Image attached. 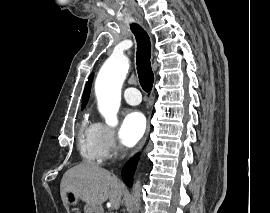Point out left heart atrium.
Listing matches in <instances>:
<instances>
[{"label":"left heart atrium","mask_w":270,"mask_h":213,"mask_svg":"<svg viewBox=\"0 0 270 213\" xmlns=\"http://www.w3.org/2000/svg\"><path fill=\"white\" fill-rule=\"evenodd\" d=\"M146 130V120L139 111L127 112L122 120L119 139L124 146H134L144 135Z\"/></svg>","instance_id":"39dd6f15"}]
</instances>
